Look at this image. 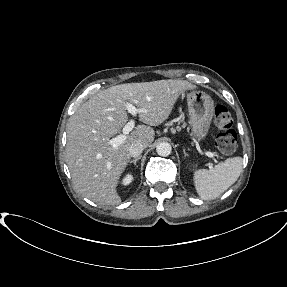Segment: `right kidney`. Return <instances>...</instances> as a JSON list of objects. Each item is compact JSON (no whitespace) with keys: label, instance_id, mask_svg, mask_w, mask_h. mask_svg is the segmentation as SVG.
Masks as SVG:
<instances>
[{"label":"right kidney","instance_id":"1","mask_svg":"<svg viewBox=\"0 0 287 287\" xmlns=\"http://www.w3.org/2000/svg\"><path fill=\"white\" fill-rule=\"evenodd\" d=\"M132 180H133V176H132L131 174H127V175L123 178L122 184H123V185H128V184H130V183L132 182Z\"/></svg>","mask_w":287,"mask_h":287}]
</instances>
